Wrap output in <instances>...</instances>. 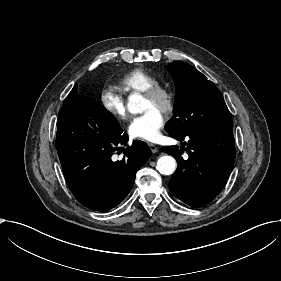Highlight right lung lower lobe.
I'll list each match as a JSON object with an SVG mask.
<instances>
[{"mask_svg": "<svg viewBox=\"0 0 281 281\" xmlns=\"http://www.w3.org/2000/svg\"><path fill=\"white\" fill-rule=\"evenodd\" d=\"M127 142L117 119L96 101L79 95L76 84L59 112L56 147L70 190L81 204L106 212L128 195L151 151L145 142L135 141L121 160L114 161L113 152L120 149L116 147Z\"/></svg>", "mask_w": 281, "mask_h": 281, "instance_id": "98d812e1", "label": "right lung lower lobe"}]
</instances>
